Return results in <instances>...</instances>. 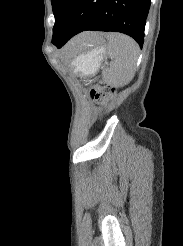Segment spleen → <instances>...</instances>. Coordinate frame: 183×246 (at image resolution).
<instances>
[{
  "label": "spleen",
  "instance_id": "obj_1",
  "mask_svg": "<svg viewBox=\"0 0 183 246\" xmlns=\"http://www.w3.org/2000/svg\"><path fill=\"white\" fill-rule=\"evenodd\" d=\"M106 39L107 52L113 61L109 69L103 70V78L109 85H127L135 76L139 45L131 37L120 33H108Z\"/></svg>",
  "mask_w": 183,
  "mask_h": 246
}]
</instances>
